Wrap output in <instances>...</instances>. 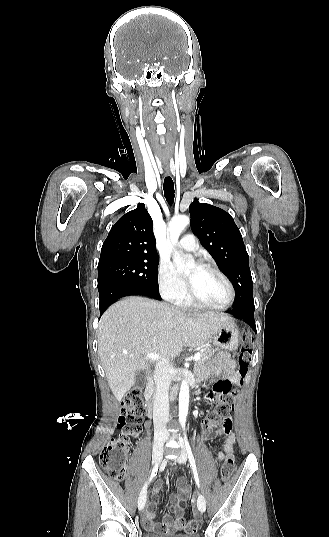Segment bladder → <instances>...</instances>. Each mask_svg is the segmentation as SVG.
Segmentation results:
<instances>
[{"label":"bladder","mask_w":329,"mask_h":537,"mask_svg":"<svg viewBox=\"0 0 329 537\" xmlns=\"http://www.w3.org/2000/svg\"><path fill=\"white\" fill-rule=\"evenodd\" d=\"M143 537H200L198 533H187V534H166V533H156L152 531H145Z\"/></svg>","instance_id":"obj_1"}]
</instances>
